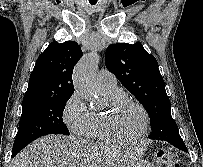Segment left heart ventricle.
Instances as JSON below:
<instances>
[{
	"instance_id": "b2bd125f",
	"label": "left heart ventricle",
	"mask_w": 203,
	"mask_h": 167,
	"mask_svg": "<svg viewBox=\"0 0 203 167\" xmlns=\"http://www.w3.org/2000/svg\"><path fill=\"white\" fill-rule=\"evenodd\" d=\"M112 127L118 136L125 139H134L143 128L142 113L136 106L128 102H122L113 112Z\"/></svg>"
}]
</instances>
